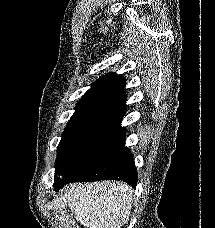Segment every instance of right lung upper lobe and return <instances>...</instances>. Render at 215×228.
<instances>
[{
    "instance_id": "cb5924a9",
    "label": "right lung upper lobe",
    "mask_w": 215,
    "mask_h": 228,
    "mask_svg": "<svg viewBox=\"0 0 215 228\" xmlns=\"http://www.w3.org/2000/svg\"><path fill=\"white\" fill-rule=\"evenodd\" d=\"M125 82L123 76L107 73L93 83L76 105L65 130L97 121L120 123L125 115Z\"/></svg>"
}]
</instances>
